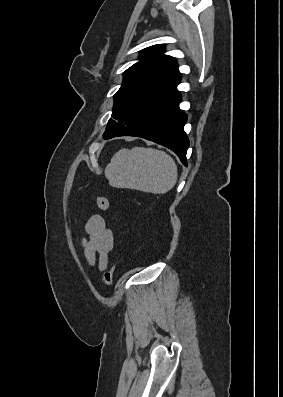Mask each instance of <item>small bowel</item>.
<instances>
[{"label": "small bowel", "instance_id": "small-bowel-1", "mask_svg": "<svg viewBox=\"0 0 283 397\" xmlns=\"http://www.w3.org/2000/svg\"><path fill=\"white\" fill-rule=\"evenodd\" d=\"M87 236L82 240L84 255L89 265H97L99 271H104L109 262L110 253L114 247V235L104 218L91 215L85 222Z\"/></svg>", "mask_w": 283, "mask_h": 397}]
</instances>
